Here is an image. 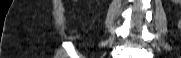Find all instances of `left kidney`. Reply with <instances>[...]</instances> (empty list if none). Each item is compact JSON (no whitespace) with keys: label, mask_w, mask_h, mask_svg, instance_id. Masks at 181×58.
Here are the masks:
<instances>
[{"label":"left kidney","mask_w":181,"mask_h":58,"mask_svg":"<svg viewBox=\"0 0 181 58\" xmlns=\"http://www.w3.org/2000/svg\"><path fill=\"white\" fill-rule=\"evenodd\" d=\"M175 4L181 3V0H172Z\"/></svg>","instance_id":"left-kidney-1"}]
</instances>
